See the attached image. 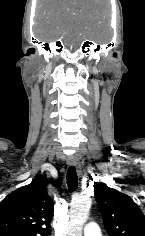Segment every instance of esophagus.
Listing matches in <instances>:
<instances>
[{
	"label": "esophagus",
	"mask_w": 145,
	"mask_h": 236,
	"mask_svg": "<svg viewBox=\"0 0 145 236\" xmlns=\"http://www.w3.org/2000/svg\"><path fill=\"white\" fill-rule=\"evenodd\" d=\"M67 163H68L69 167H76L78 173L79 174L81 173L80 163H79L78 159L75 156H70L68 158Z\"/></svg>",
	"instance_id": "obj_1"
}]
</instances>
